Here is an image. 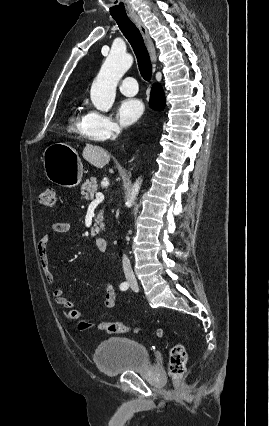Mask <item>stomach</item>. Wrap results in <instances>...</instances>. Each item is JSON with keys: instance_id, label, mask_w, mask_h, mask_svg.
<instances>
[{"instance_id": "0dacf381", "label": "stomach", "mask_w": 269, "mask_h": 426, "mask_svg": "<svg viewBox=\"0 0 269 426\" xmlns=\"http://www.w3.org/2000/svg\"><path fill=\"white\" fill-rule=\"evenodd\" d=\"M43 166L49 181L62 187L80 184L83 165L76 151L65 143H53L43 153Z\"/></svg>"}]
</instances>
